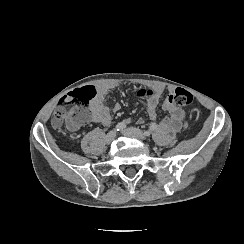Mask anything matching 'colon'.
I'll list each match as a JSON object with an SVG mask.
<instances>
[{
    "instance_id": "1",
    "label": "colon",
    "mask_w": 244,
    "mask_h": 244,
    "mask_svg": "<svg viewBox=\"0 0 244 244\" xmlns=\"http://www.w3.org/2000/svg\"><path fill=\"white\" fill-rule=\"evenodd\" d=\"M95 95V88L90 83H83L78 90H72L62 98L52 117V124L59 128L65 125L70 133H77L81 130L82 124H87L92 119V112L89 109L90 100ZM168 101L174 105L189 106L193 102V95L187 89L178 87L169 95Z\"/></svg>"
}]
</instances>
